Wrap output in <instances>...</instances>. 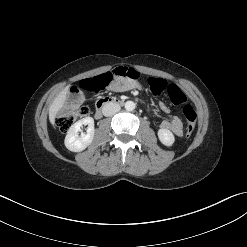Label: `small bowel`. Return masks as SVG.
<instances>
[{
    "instance_id": "small-bowel-1",
    "label": "small bowel",
    "mask_w": 247,
    "mask_h": 247,
    "mask_svg": "<svg viewBox=\"0 0 247 247\" xmlns=\"http://www.w3.org/2000/svg\"><path fill=\"white\" fill-rule=\"evenodd\" d=\"M111 89L116 92H126L139 90L140 85L136 80L129 77H118L116 78V81L111 85ZM160 108L163 112H168V108L164 104H161ZM160 128L162 130L171 131L176 136L183 135L182 121L176 115H173L169 119L162 121L160 124Z\"/></svg>"
}]
</instances>
